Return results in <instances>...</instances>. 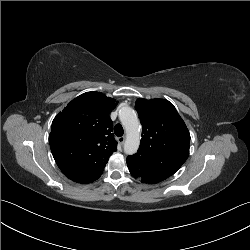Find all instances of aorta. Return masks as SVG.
<instances>
[{"label": "aorta", "mask_w": 250, "mask_h": 250, "mask_svg": "<svg viewBox=\"0 0 250 250\" xmlns=\"http://www.w3.org/2000/svg\"><path fill=\"white\" fill-rule=\"evenodd\" d=\"M119 118L126 130L124 152L133 155L140 145V124L135 111L130 107H123L119 111Z\"/></svg>", "instance_id": "aorta-1"}]
</instances>
